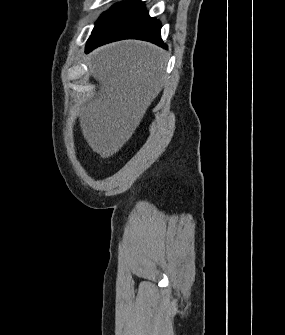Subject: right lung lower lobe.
<instances>
[{
  "mask_svg": "<svg viewBox=\"0 0 285 335\" xmlns=\"http://www.w3.org/2000/svg\"><path fill=\"white\" fill-rule=\"evenodd\" d=\"M160 30V22L148 15L143 2L126 0L95 26L87 41L86 53L122 39L145 40L167 48L161 39Z\"/></svg>",
  "mask_w": 285,
  "mask_h": 335,
  "instance_id": "98d812e1",
  "label": "right lung lower lobe"
}]
</instances>
